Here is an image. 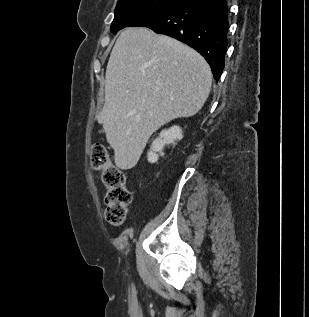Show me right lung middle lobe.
Segmentation results:
<instances>
[{
  "mask_svg": "<svg viewBox=\"0 0 309 317\" xmlns=\"http://www.w3.org/2000/svg\"><path fill=\"white\" fill-rule=\"evenodd\" d=\"M182 0H118L111 32L116 34L138 17Z\"/></svg>",
  "mask_w": 309,
  "mask_h": 317,
  "instance_id": "right-lung-middle-lobe-1",
  "label": "right lung middle lobe"
}]
</instances>
